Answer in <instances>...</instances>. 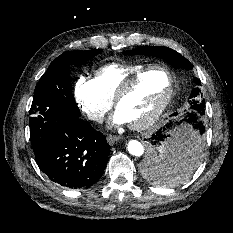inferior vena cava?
<instances>
[{
	"instance_id": "602c4592",
	"label": "inferior vena cava",
	"mask_w": 233,
	"mask_h": 233,
	"mask_svg": "<svg viewBox=\"0 0 233 233\" xmlns=\"http://www.w3.org/2000/svg\"><path fill=\"white\" fill-rule=\"evenodd\" d=\"M103 114L101 113H95V114H92L91 115V119L92 120H95V121H98V122H101L103 120Z\"/></svg>"
}]
</instances>
